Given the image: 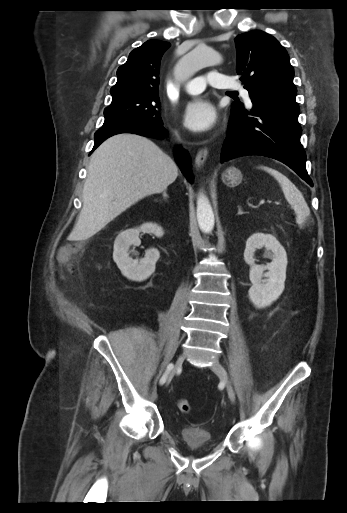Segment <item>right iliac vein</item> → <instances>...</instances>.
<instances>
[{"label": "right iliac vein", "instance_id": "63e3f726", "mask_svg": "<svg viewBox=\"0 0 347 513\" xmlns=\"http://www.w3.org/2000/svg\"><path fill=\"white\" fill-rule=\"evenodd\" d=\"M184 361V357L183 355H180L177 360H176V363H175V366H174V369L172 370V374H171V377H170V380L173 378V376L177 373L178 369L181 367L182 363Z\"/></svg>", "mask_w": 347, "mask_h": 513}]
</instances>
